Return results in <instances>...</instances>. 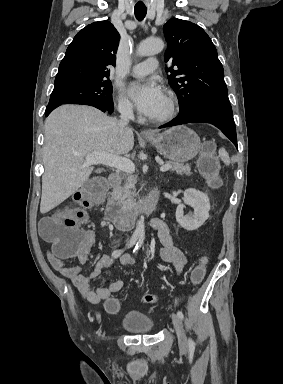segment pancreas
Masks as SVG:
<instances>
[{
  "label": "pancreas",
  "instance_id": "pancreas-1",
  "mask_svg": "<svg viewBox=\"0 0 283 384\" xmlns=\"http://www.w3.org/2000/svg\"><path fill=\"white\" fill-rule=\"evenodd\" d=\"M168 166H171V170L176 174H187L191 176L190 166H184V164H177V162H166ZM121 180H124V184L121 186H113V192L111 194L114 202L119 204L123 212H131L135 206L136 196H138L135 190V184H137L136 178L133 176H126V174H120Z\"/></svg>",
  "mask_w": 283,
  "mask_h": 384
}]
</instances>
